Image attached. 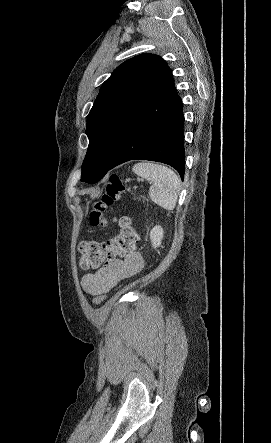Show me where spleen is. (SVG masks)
<instances>
[{
    "instance_id": "1",
    "label": "spleen",
    "mask_w": 271,
    "mask_h": 443,
    "mask_svg": "<svg viewBox=\"0 0 271 443\" xmlns=\"http://www.w3.org/2000/svg\"><path fill=\"white\" fill-rule=\"evenodd\" d=\"M132 172L152 184L149 190L152 202L164 210H174L180 184L179 178L173 170L166 168V166H160V164L140 162V164L133 166Z\"/></svg>"
}]
</instances>
